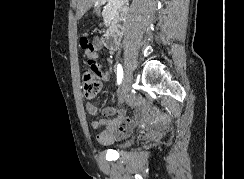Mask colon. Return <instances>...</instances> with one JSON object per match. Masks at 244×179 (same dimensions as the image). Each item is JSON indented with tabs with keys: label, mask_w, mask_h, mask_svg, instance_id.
I'll list each match as a JSON object with an SVG mask.
<instances>
[{
	"label": "colon",
	"mask_w": 244,
	"mask_h": 179,
	"mask_svg": "<svg viewBox=\"0 0 244 179\" xmlns=\"http://www.w3.org/2000/svg\"><path fill=\"white\" fill-rule=\"evenodd\" d=\"M102 79L103 76L95 65L89 64L82 78L81 90L83 96L89 100H94L100 92Z\"/></svg>",
	"instance_id": "1"
}]
</instances>
